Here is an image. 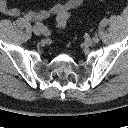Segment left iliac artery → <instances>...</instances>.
I'll return each mask as SVG.
<instances>
[{"mask_svg": "<svg viewBox=\"0 0 128 128\" xmlns=\"http://www.w3.org/2000/svg\"><path fill=\"white\" fill-rule=\"evenodd\" d=\"M93 41H94V43H98V42H99L98 37H97V36H95V37L93 38Z\"/></svg>", "mask_w": 128, "mask_h": 128, "instance_id": "obj_1", "label": "left iliac artery"}]
</instances>
